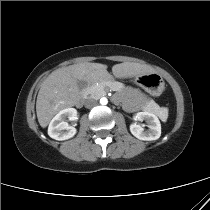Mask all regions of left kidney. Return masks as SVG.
I'll return each mask as SVG.
<instances>
[{"instance_id":"obj_1","label":"left kidney","mask_w":210,"mask_h":210,"mask_svg":"<svg viewBox=\"0 0 210 210\" xmlns=\"http://www.w3.org/2000/svg\"><path fill=\"white\" fill-rule=\"evenodd\" d=\"M136 119L146 120L148 123V130L144 131V128L136 123L130 125L131 133L139 140L152 141L157 140L161 136V124L158 117L148 111L138 112Z\"/></svg>"}]
</instances>
